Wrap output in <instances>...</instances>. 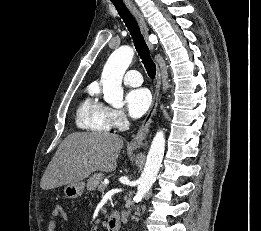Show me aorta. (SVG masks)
I'll return each mask as SVG.
<instances>
[{"mask_svg": "<svg viewBox=\"0 0 261 231\" xmlns=\"http://www.w3.org/2000/svg\"><path fill=\"white\" fill-rule=\"evenodd\" d=\"M134 51L129 46L116 49L107 60L101 75L104 100L114 107L123 106V75L129 67ZM165 151L163 131H158L151 143L144 170L139 179L136 197L142 199L152 187L161 167Z\"/></svg>", "mask_w": 261, "mask_h": 231, "instance_id": "aorta-1", "label": "aorta"}]
</instances>
